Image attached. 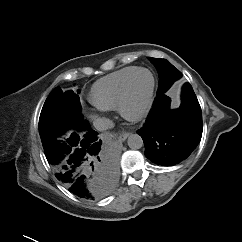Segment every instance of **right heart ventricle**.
<instances>
[{"instance_id": "right-heart-ventricle-1", "label": "right heart ventricle", "mask_w": 242, "mask_h": 242, "mask_svg": "<svg viewBox=\"0 0 242 242\" xmlns=\"http://www.w3.org/2000/svg\"><path fill=\"white\" fill-rule=\"evenodd\" d=\"M138 69L129 66L97 80L90 90V101L101 110L118 108L119 100L129 77Z\"/></svg>"}]
</instances>
